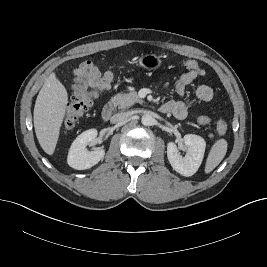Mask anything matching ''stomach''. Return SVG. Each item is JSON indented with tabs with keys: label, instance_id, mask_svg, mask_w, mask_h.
<instances>
[{
	"label": "stomach",
	"instance_id": "obj_1",
	"mask_svg": "<svg viewBox=\"0 0 267 267\" xmlns=\"http://www.w3.org/2000/svg\"><path fill=\"white\" fill-rule=\"evenodd\" d=\"M161 64V57L154 53H147L145 55H142L137 60V65L147 70H156L161 66Z\"/></svg>",
	"mask_w": 267,
	"mask_h": 267
}]
</instances>
